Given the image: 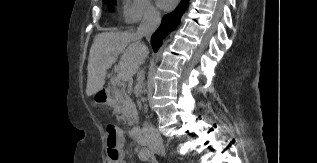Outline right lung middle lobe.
Here are the masks:
<instances>
[{
  "mask_svg": "<svg viewBox=\"0 0 317 163\" xmlns=\"http://www.w3.org/2000/svg\"><path fill=\"white\" fill-rule=\"evenodd\" d=\"M104 3L109 4L111 2L115 3L114 0H103ZM111 10H113V7L110 8Z\"/></svg>",
  "mask_w": 317,
  "mask_h": 163,
  "instance_id": "obj_1",
  "label": "right lung middle lobe"
}]
</instances>
